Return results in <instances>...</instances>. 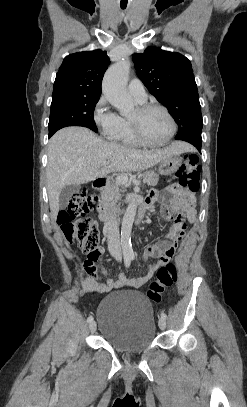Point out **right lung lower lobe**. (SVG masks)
I'll return each mask as SVG.
<instances>
[{"label": "right lung lower lobe", "instance_id": "98d812e1", "mask_svg": "<svg viewBox=\"0 0 247 407\" xmlns=\"http://www.w3.org/2000/svg\"><path fill=\"white\" fill-rule=\"evenodd\" d=\"M53 134H49V137H51Z\"/></svg>", "mask_w": 247, "mask_h": 407}]
</instances>
